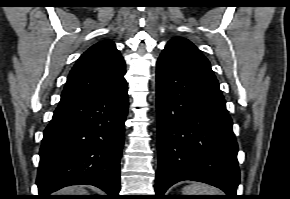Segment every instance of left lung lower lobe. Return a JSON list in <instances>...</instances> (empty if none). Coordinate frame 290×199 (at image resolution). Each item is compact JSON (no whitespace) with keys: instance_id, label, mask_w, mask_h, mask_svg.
Returning a JSON list of instances; mask_svg holds the SVG:
<instances>
[{"instance_id":"1","label":"left lung lower lobe","mask_w":290,"mask_h":199,"mask_svg":"<svg viewBox=\"0 0 290 199\" xmlns=\"http://www.w3.org/2000/svg\"><path fill=\"white\" fill-rule=\"evenodd\" d=\"M158 172L164 198L176 182H204L236 199L237 142L215 76L163 51L157 61Z\"/></svg>"}]
</instances>
